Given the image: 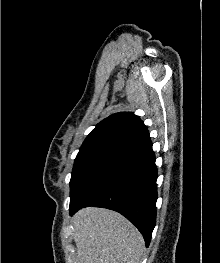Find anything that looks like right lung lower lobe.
Instances as JSON below:
<instances>
[{
	"label": "right lung lower lobe",
	"instance_id": "1",
	"mask_svg": "<svg viewBox=\"0 0 220 263\" xmlns=\"http://www.w3.org/2000/svg\"><path fill=\"white\" fill-rule=\"evenodd\" d=\"M156 180L155 155L149 138L108 161L70 204V215L86 206L117 211L138 228L148 247L156 224Z\"/></svg>",
	"mask_w": 220,
	"mask_h": 263
}]
</instances>
